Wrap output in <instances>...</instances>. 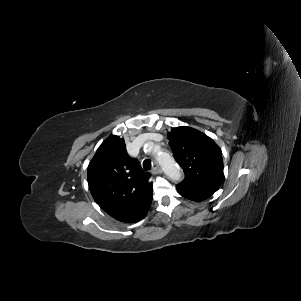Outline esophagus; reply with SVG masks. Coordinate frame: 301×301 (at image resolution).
I'll list each match as a JSON object with an SVG mask.
<instances>
[{
    "label": "esophagus",
    "instance_id": "obj_1",
    "mask_svg": "<svg viewBox=\"0 0 301 301\" xmlns=\"http://www.w3.org/2000/svg\"><path fill=\"white\" fill-rule=\"evenodd\" d=\"M160 172H161L160 166L158 165V163L154 162L153 163V168H152V173L153 174H158Z\"/></svg>",
    "mask_w": 301,
    "mask_h": 301
}]
</instances>
